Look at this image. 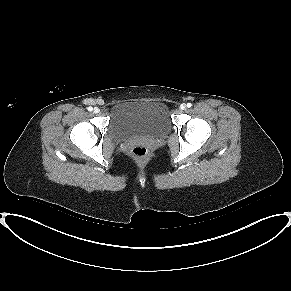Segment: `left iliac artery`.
I'll return each instance as SVG.
<instances>
[{"label":"left iliac artery","mask_w":291,"mask_h":291,"mask_svg":"<svg viewBox=\"0 0 291 291\" xmlns=\"http://www.w3.org/2000/svg\"><path fill=\"white\" fill-rule=\"evenodd\" d=\"M192 106L191 103H187V107L190 108Z\"/></svg>","instance_id":"obj_1"}]
</instances>
